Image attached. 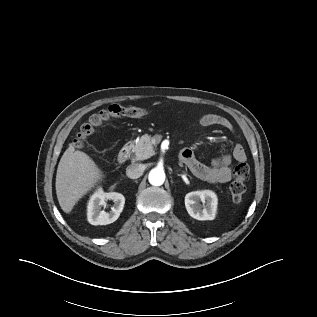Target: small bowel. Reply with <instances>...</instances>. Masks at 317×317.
I'll list each match as a JSON object with an SVG mask.
<instances>
[{"mask_svg":"<svg viewBox=\"0 0 317 317\" xmlns=\"http://www.w3.org/2000/svg\"><path fill=\"white\" fill-rule=\"evenodd\" d=\"M200 123L203 126H219L227 130L233 129L231 122L218 114H205L200 118ZM180 159L198 179L213 184H224L232 178L233 162H245L246 153L242 145L236 144L230 154L214 158L207 165L200 162L190 148H185L181 151Z\"/></svg>","mask_w":317,"mask_h":317,"instance_id":"1","label":"small bowel"}]
</instances>
